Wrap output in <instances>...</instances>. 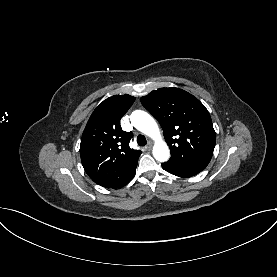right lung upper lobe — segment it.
<instances>
[{"label": "right lung upper lobe", "instance_id": "cb5924a9", "mask_svg": "<svg viewBox=\"0 0 277 277\" xmlns=\"http://www.w3.org/2000/svg\"><path fill=\"white\" fill-rule=\"evenodd\" d=\"M135 101L128 94L104 100L92 113L84 129L80 156L88 176L106 188H118L136 170L141 151L129 147L131 132L120 120Z\"/></svg>", "mask_w": 277, "mask_h": 277}]
</instances>
